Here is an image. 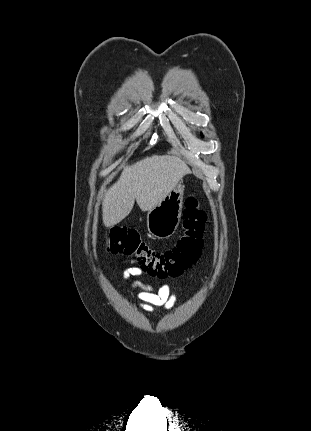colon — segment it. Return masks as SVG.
Instances as JSON below:
<instances>
[{"label":"colon","mask_w":311,"mask_h":431,"mask_svg":"<svg viewBox=\"0 0 311 431\" xmlns=\"http://www.w3.org/2000/svg\"><path fill=\"white\" fill-rule=\"evenodd\" d=\"M206 214L196 196L184 202L182 233L172 248L156 250L130 228L116 227L107 233V251L133 257L143 272L158 277L180 276L197 262L203 247Z\"/></svg>","instance_id":"1"}]
</instances>
